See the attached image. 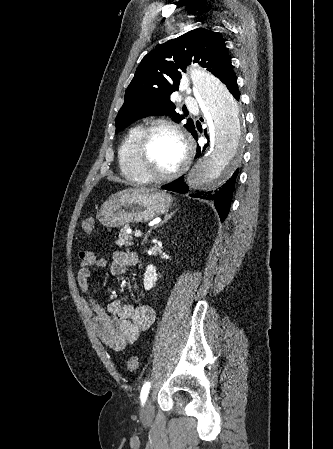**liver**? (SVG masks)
Returning <instances> with one entry per match:
<instances>
[{
	"mask_svg": "<svg viewBox=\"0 0 333 449\" xmlns=\"http://www.w3.org/2000/svg\"><path fill=\"white\" fill-rule=\"evenodd\" d=\"M133 191H137V190H129V191L125 190V191H120V192H117V193H115L114 195H112L111 198L118 197V196H121L123 193H126V192H133ZM138 191H143V190H138Z\"/></svg>",
	"mask_w": 333,
	"mask_h": 449,
	"instance_id": "liver-1",
	"label": "liver"
}]
</instances>
